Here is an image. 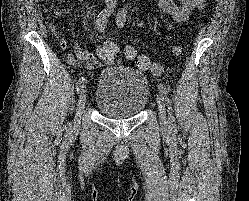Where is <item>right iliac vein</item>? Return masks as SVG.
<instances>
[{"label":"right iliac vein","instance_id":"63e3f726","mask_svg":"<svg viewBox=\"0 0 249 201\" xmlns=\"http://www.w3.org/2000/svg\"><path fill=\"white\" fill-rule=\"evenodd\" d=\"M86 90L82 89L80 94H79V98H78V104H77V113H76V120H75V126L78 127L79 123H80V119L86 104Z\"/></svg>","mask_w":249,"mask_h":201}]
</instances>
